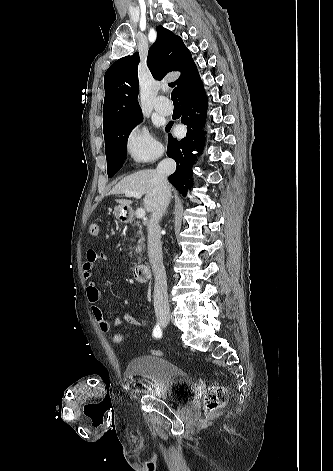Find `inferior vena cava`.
Listing matches in <instances>:
<instances>
[{"label": "inferior vena cava", "instance_id": "602c4592", "mask_svg": "<svg viewBox=\"0 0 333 471\" xmlns=\"http://www.w3.org/2000/svg\"><path fill=\"white\" fill-rule=\"evenodd\" d=\"M175 169L176 163L170 158L163 159L157 166L156 172L158 175L159 195L148 224V256L155 278L153 298L156 314L170 312L159 222L165 213L171 197L167 178Z\"/></svg>", "mask_w": 333, "mask_h": 471}]
</instances>
